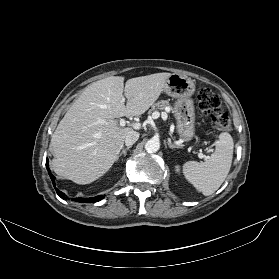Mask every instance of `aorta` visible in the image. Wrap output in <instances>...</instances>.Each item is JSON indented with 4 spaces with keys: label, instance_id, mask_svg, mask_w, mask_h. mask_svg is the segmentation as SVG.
I'll return each instance as SVG.
<instances>
[{
    "label": "aorta",
    "instance_id": "aorta-1",
    "mask_svg": "<svg viewBox=\"0 0 279 279\" xmlns=\"http://www.w3.org/2000/svg\"><path fill=\"white\" fill-rule=\"evenodd\" d=\"M160 148V142L157 139H150L146 142L145 144V150L149 153H155L159 150Z\"/></svg>",
    "mask_w": 279,
    "mask_h": 279
}]
</instances>
